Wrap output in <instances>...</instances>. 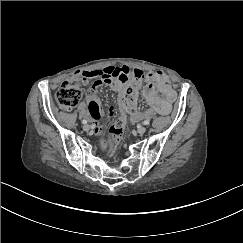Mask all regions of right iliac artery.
I'll return each mask as SVG.
<instances>
[{
  "instance_id": "right-iliac-artery-1",
  "label": "right iliac artery",
  "mask_w": 243,
  "mask_h": 243,
  "mask_svg": "<svg viewBox=\"0 0 243 243\" xmlns=\"http://www.w3.org/2000/svg\"><path fill=\"white\" fill-rule=\"evenodd\" d=\"M82 123H83V124H86V123H87V120H82Z\"/></svg>"
}]
</instances>
